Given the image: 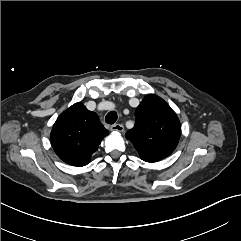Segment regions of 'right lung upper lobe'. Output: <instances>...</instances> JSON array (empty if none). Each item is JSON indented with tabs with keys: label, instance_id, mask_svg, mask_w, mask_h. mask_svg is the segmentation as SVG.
<instances>
[{
	"label": "right lung upper lobe",
	"instance_id": "right-lung-upper-lobe-1",
	"mask_svg": "<svg viewBox=\"0 0 241 241\" xmlns=\"http://www.w3.org/2000/svg\"><path fill=\"white\" fill-rule=\"evenodd\" d=\"M108 134L96 113L76 103L57 118L51 131V142L61 160L81 167L90 162L91 155Z\"/></svg>",
	"mask_w": 241,
	"mask_h": 241
}]
</instances>
